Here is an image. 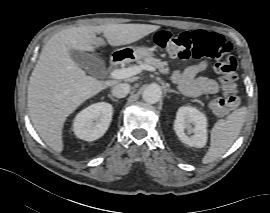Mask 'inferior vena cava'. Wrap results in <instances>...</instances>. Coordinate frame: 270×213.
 I'll return each mask as SVG.
<instances>
[{"label":"inferior vena cava","instance_id":"602c4592","mask_svg":"<svg viewBox=\"0 0 270 213\" xmlns=\"http://www.w3.org/2000/svg\"><path fill=\"white\" fill-rule=\"evenodd\" d=\"M130 92V85L127 83H118L112 88V95L116 98H124Z\"/></svg>","mask_w":270,"mask_h":213}]
</instances>
